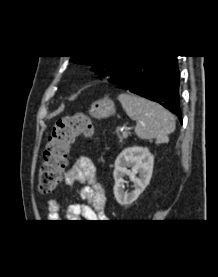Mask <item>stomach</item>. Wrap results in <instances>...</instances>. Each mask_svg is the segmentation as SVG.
Masks as SVG:
<instances>
[{"label":"stomach","mask_w":218,"mask_h":277,"mask_svg":"<svg viewBox=\"0 0 218 277\" xmlns=\"http://www.w3.org/2000/svg\"><path fill=\"white\" fill-rule=\"evenodd\" d=\"M116 112L114 102L109 98H103L92 103L89 114L96 118L102 119L114 115Z\"/></svg>","instance_id":"stomach-1"}]
</instances>
